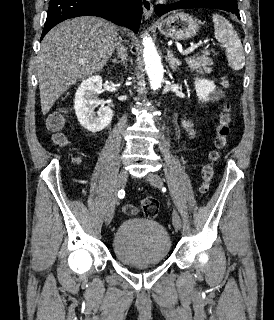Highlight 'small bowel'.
<instances>
[{
	"label": "small bowel",
	"mask_w": 274,
	"mask_h": 320,
	"mask_svg": "<svg viewBox=\"0 0 274 320\" xmlns=\"http://www.w3.org/2000/svg\"><path fill=\"white\" fill-rule=\"evenodd\" d=\"M184 128H185L186 134L189 138H193L195 136V130L193 128L192 123L189 120L184 121ZM83 193L84 194L86 193L85 189H83Z\"/></svg>",
	"instance_id": "c3829d8e"
}]
</instances>
